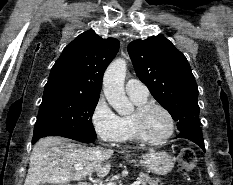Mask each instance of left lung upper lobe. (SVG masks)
<instances>
[{
  "label": "left lung upper lobe",
  "instance_id": "obj_1",
  "mask_svg": "<svg viewBox=\"0 0 233 185\" xmlns=\"http://www.w3.org/2000/svg\"><path fill=\"white\" fill-rule=\"evenodd\" d=\"M128 53L139 79L171 114L181 132L199 123L198 88L186 57L163 36L135 40Z\"/></svg>",
  "mask_w": 233,
  "mask_h": 185
}]
</instances>
